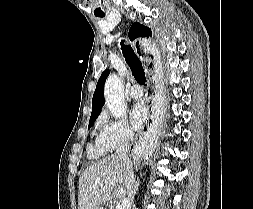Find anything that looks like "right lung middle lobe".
<instances>
[{"label": "right lung middle lobe", "mask_w": 253, "mask_h": 209, "mask_svg": "<svg viewBox=\"0 0 253 209\" xmlns=\"http://www.w3.org/2000/svg\"><path fill=\"white\" fill-rule=\"evenodd\" d=\"M95 120H96V119H91V120L89 121V126H88V128H90V127L93 125V123L95 122Z\"/></svg>", "instance_id": "1"}]
</instances>
